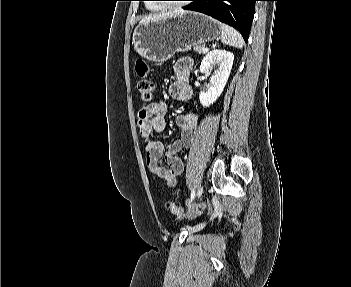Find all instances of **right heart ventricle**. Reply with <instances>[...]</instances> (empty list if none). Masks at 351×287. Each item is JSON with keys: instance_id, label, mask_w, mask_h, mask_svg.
Segmentation results:
<instances>
[{"instance_id": "e07e8e85", "label": "right heart ventricle", "mask_w": 351, "mask_h": 287, "mask_svg": "<svg viewBox=\"0 0 351 287\" xmlns=\"http://www.w3.org/2000/svg\"><path fill=\"white\" fill-rule=\"evenodd\" d=\"M147 8L150 10V11H153V12H158V11H161V7L157 6V5H154V4H151V3H148L147 4Z\"/></svg>"}]
</instances>
